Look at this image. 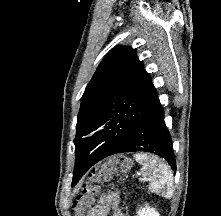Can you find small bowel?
Masks as SVG:
<instances>
[{"label":"small bowel","mask_w":221,"mask_h":216,"mask_svg":"<svg viewBox=\"0 0 221 216\" xmlns=\"http://www.w3.org/2000/svg\"><path fill=\"white\" fill-rule=\"evenodd\" d=\"M112 210V216H125L118 206V194L109 193L104 195L87 216H107L108 210Z\"/></svg>","instance_id":"obj_1"}]
</instances>
